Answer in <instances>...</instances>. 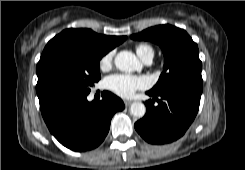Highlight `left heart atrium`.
I'll return each mask as SVG.
<instances>
[{
  "instance_id": "left-heart-atrium-1",
  "label": "left heart atrium",
  "mask_w": 245,
  "mask_h": 170,
  "mask_svg": "<svg viewBox=\"0 0 245 170\" xmlns=\"http://www.w3.org/2000/svg\"><path fill=\"white\" fill-rule=\"evenodd\" d=\"M108 87L121 97H131L137 90L146 89L149 80L126 74H115L107 78Z\"/></svg>"
}]
</instances>
